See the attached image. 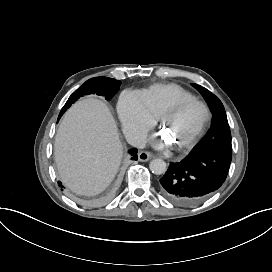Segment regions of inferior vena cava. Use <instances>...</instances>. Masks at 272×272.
<instances>
[{
	"mask_svg": "<svg viewBox=\"0 0 272 272\" xmlns=\"http://www.w3.org/2000/svg\"><path fill=\"white\" fill-rule=\"evenodd\" d=\"M127 142L137 148H143L145 144L144 134H139L133 137H130Z\"/></svg>",
	"mask_w": 272,
	"mask_h": 272,
	"instance_id": "1",
	"label": "inferior vena cava"
}]
</instances>
